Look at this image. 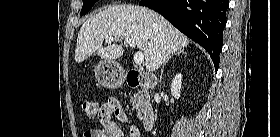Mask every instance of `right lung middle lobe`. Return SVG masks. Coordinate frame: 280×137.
I'll list each match as a JSON object with an SVG mask.
<instances>
[{
	"instance_id": "dd1d6c3e",
	"label": "right lung middle lobe",
	"mask_w": 280,
	"mask_h": 137,
	"mask_svg": "<svg viewBox=\"0 0 280 137\" xmlns=\"http://www.w3.org/2000/svg\"><path fill=\"white\" fill-rule=\"evenodd\" d=\"M98 0H83L81 16L86 14Z\"/></svg>"
}]
</instances>
